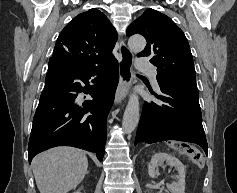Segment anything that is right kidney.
<instances>
[{
  "mask_svg": "<svg viewBox=\"0 0 237 193\" xmlns=\"http://www.w3.org/2000/svg\"><path fill=\"white\" fill-rule=\"evenodd\" d=\"M73 193H81L80 191H75V192H73Z\"/></svg>",
  "mask_w": 237,
  "mask_h": 193,
  "instance_id": "ca27d5eb",
  "label": "right kidney"
}]
</instances>
